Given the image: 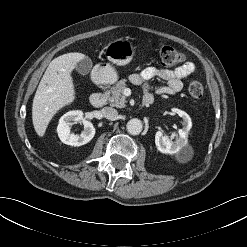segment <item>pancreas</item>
I'll return each mask as SVG.
<instances>
[{
	"mask_svg": "<svg viewBox=\"0 0 247 247\" xmlns=\"http://www.w3.org/2000/svg\"><path fill=\"white\" fill-rule=\"evenodd\" d=\"M126 80L122 79L111 89V95L108 100L111 106L118 108H124L126 103V97L123 95V90L126 88Z\"/></svg>",
	"mask_w": 247,
	"mask_h": 247,
	"instance_id": "obj_1",
	"label": "pancreas"
}]
</instances>
